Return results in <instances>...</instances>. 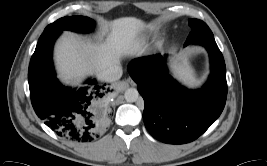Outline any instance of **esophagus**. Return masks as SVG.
<instances>
[{"mask_svg":"<svg viewBox=\"0 0 267 166\" xmlns=\"http://www.w3.org/2000/svg\"><path fill=\"white\" fill-rule=\"evenodd\" d=\"M135 86V83L132 79H127L126 81L124 82H121L119 85H118V89L119 90H124L126 88H128L129 86Z\"/></svg>","mask_w":267,"mask_h":166,"instance_id":"esophagus-1","label":"esophagus"}]
</instances>
